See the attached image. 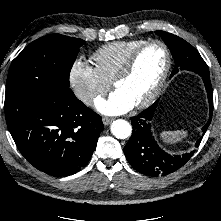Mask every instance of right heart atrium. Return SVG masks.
<instances>
[{
    "label": "right heart atrium",
    "mask_w": 221,
    "mask_h": 221,
    "mask_svg": "<svg viewBox=\"0 0 221 221\" xmlns=\"http://www.w3.org/2000/svg\"><path fill=\"white\" fill-rule=\"evenodd\" d=\"M69 83L76 97L86 105H93L109 87L97 67L83 59H78L72 64Z\"/></svg>",
    "instance_id": "d8ad5b80"
}]
</instances>
